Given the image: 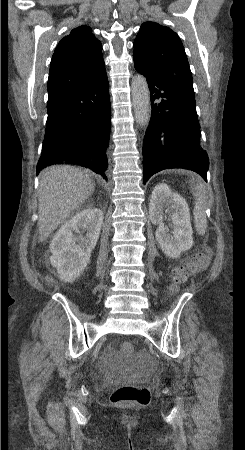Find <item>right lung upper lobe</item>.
<instances>
[{
  "instance_id": "right-lung-upper-lobe-1",
  "label": "right lung upper lobe",
  "mask_w": 245,
  "mask_h": 450,
  "mask_svg": "<svg viewBox=\"0 0 245 450\" xmlns=\"http://www.w3.org/2000/svg\"><path fill=\"white\" fill-rule=\"evenodd\" d=\"M105 69L102 44L91 28L80 26L64 37L53 54L48 78V103H55Z\"/></svg>"
}]
</instances>
